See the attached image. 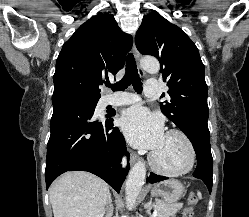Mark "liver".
Returning a JSON list of instances; mask_svg holds the SVG:
<instances>
[{"label": "liver", "instance_id": "6515ba94", "mask_svg": "<svg viewBox=\"0 0 249 217\" xmlns=\"http://www.w3.org/2000/svg\"><path fill=\"white\" fill-rule=\"evenodd\" d=\"M108 184L84 171L67 172L49 189L54 217H103Z\"/></svg>", "mask_w": 249, "mask_h": 217}]
</instances>
